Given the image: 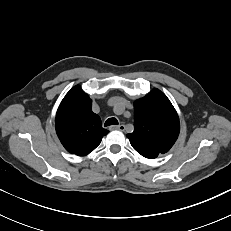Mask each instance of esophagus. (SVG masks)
I'll return each mask as SVG.
<instances>
[{
	"instance_id": "obj_1",
	"label": "esophagus",
	"mask_w": 231,
	"mask_h": 231,
	"mask_svg": "<svg viewBox=\"0 0 231 231\" xmlns=\"http://www.w3.org/2000/svg\"><path fill=\"white\" fill-rule=\"evenodd\" d=\"M109 129L110 130L118 129V130L124 131L125 130V126L122 125V124L118 125V126H110Z\"/></svg>"
}]
</instances>
